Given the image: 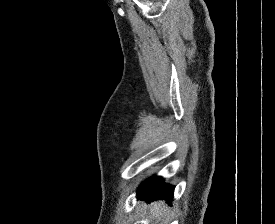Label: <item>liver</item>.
<instances>
[{
	"instance_id": "1",
	"label": "liver",
	"mask_w": 275,
	"mask_h": 224,
	"mask_svg": "<svg viewBox=\"0 0 275 224\" xmlns=\"http://www.w3.org/2000/svg\"><path fill=\"white\" fill-rule=\"evenodd\" d=\"M164 210V204L162 201H157L154 204H152L150 208L151 215L153 217H159L162 215Z\"/></svg>"
}]
</instances>
